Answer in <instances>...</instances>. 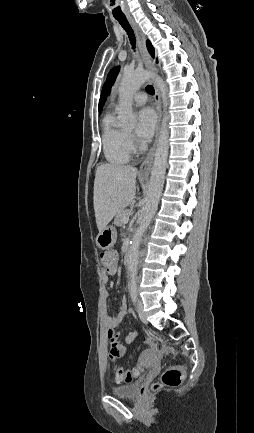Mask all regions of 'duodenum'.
<instances>
[{
  "label": "duodenum",
  "mask_w": 254,
  "mask_h": 433,
  "mask_svg": "<svg viewBox=\"0 0 254 433\" xmlns=\"http://www.w3.org/2000/svg\"><path fill=\"white\" fill-rule=\"evenodd\" d=\"M130 254H131V244L126 242L125 245V263L128 265L130 263Z\"/></svg>",
  "instance_id": "1"
}]
</instances>
